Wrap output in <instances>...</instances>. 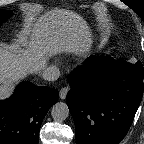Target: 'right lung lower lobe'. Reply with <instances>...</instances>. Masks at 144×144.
<instances>
[{
	"label": "right lung lower lobe",
	"mask_w": 144,
	"mask_h": 144,
	"mask_svg": "<svg viewBox=\"0 0 144 144\" xmlns=\"http://www.w3.org/2000/svg\"><path fill=\"white\" fill-rule=\"evenodd\" d=\"M58 97L56 89L20 84L12 97L0 101V144H38L41 123Z\"/></svg>",
	"instance_id": "98d812e1"
}]
</instances>
